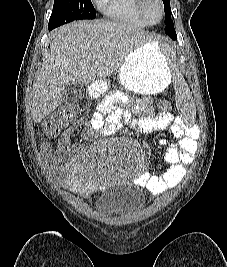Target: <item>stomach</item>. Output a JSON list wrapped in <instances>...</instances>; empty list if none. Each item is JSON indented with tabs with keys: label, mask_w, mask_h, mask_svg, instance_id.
Masks as SVG:
<instances>
[{
	"label": "stomach",
	"mask_w": 227,
	"mask_h": 267,
	"mask_svg": "<svg viewBox=\"0 0 227 267\" xmlns=\"http://www.w3.org/2000/svg\"><path fill=\"white\" fill-rule=\"evenodd\" d=\"M171 72L162 47L148 42L133 50L118 70L121 85L130 91L154 94L164 90L171 82ZM108 90V85L94 83L89 87V96L96 97Z\"/></svg>",
	"instance_id": "stomach-1"
}]
</instances>
